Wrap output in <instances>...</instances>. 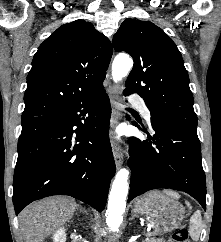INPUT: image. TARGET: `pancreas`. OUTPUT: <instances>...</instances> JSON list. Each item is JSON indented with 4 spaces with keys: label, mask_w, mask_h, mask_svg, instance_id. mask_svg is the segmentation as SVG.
<instances>
[{
    "label": "pancreas",
    "mask_w": 221,
    "mask_h": 242,
    "mask_svg": "<svg viewBox=\"0 0 221 242\" xmlns=\"http://www.w3.org/2000/svg\"><path fill=\"white\" fill-rule=\"evenodd\" d=\"M146 242H162V239L150 237L146 239Z\"/></svg>",
    "instance_id": "obj_1"
}]
</instances>
